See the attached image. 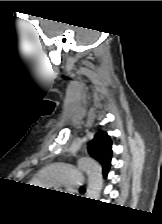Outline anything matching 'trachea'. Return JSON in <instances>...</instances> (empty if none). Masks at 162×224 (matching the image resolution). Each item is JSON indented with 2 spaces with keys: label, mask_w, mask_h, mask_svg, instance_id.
<instances>
[{
  "label": "trachea",
  "mask_w": 162,
  "mask_h": 224,
  "mask_svg": "<svg viewBox=\"0 0 162 224\" xmlns=\"http://www.w3.org/2000/svg\"><path fill=\"white\" fill-rule=\"evenodd\" d=\"M80 190H85V187H81Z\"/></svg>",
  "instance_id": "1"
}]
</instances>
